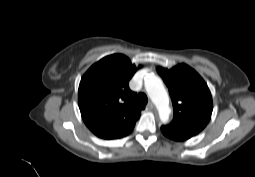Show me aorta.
<instances>
[{"mask_svg":"<svg viewBox=\"0 0 255 177\" xmlns=\"http://www.w3.org/2000/svg\"><path fill=\"white\" fill-rule=\"evenodd\" d=\"M147 94L156 105L160 120L166 123L170 115L169 97L162 80L155 75H149L144 79Z\"/></svg>","mask_w":255,"mask_h":177,"instance_id":"obj_1","label":"aorta"}]
</instances>
